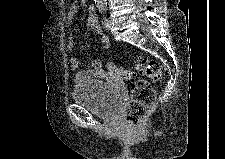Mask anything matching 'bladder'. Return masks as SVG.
<instances>
[{
    "mask_svg": "<svg viewBox=\"0 0 225 159\" xmlns=\"http://www.w3.org/2000/svg\"><path fill=\"white\" fill-rule=\"evenodd\" d=\"M73 101L104 120L117 118L121 98L106 82L94 80L76 86L72 91Z\"/></svg>",
    "mask_w": 225,
    "mask_h": 159,
    "instance_id": "obj_1",
    "label": "bladder"
}]
</instances>
